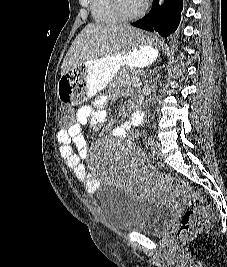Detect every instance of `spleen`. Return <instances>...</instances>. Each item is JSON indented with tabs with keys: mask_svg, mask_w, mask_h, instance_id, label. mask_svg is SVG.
I'll return each mask as SVG.
<instances>
[{
	"mask_svg": "<svg viewBox=\"0 0 227 267\" xmlns=\"http://www.w3.org/2000/svg\"><path fill=\"white\" fill-rule=\"evenodd\" d=\"M154 35L153 31H148L147 33H133V38L135 43H147V47H156L157 51H162L163 47L158 46L159 39L152 38Z\"/></svg>",
	"mask_w": 227,
	"mask_h": 267,
	"instance_id": "3e777b00",
	"label": "spleen"
}]
</instances>
